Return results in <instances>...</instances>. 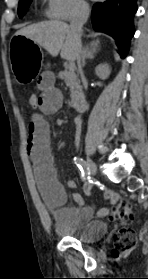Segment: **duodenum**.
<instances>
[{
  "instance_id": "obj_1",
  "label": "duodenum",
  "mask_w": 148,
  "mask_h": 279,
  "mask_svg": "<svg viewBox=\"0 0 148 279\" xmlns=\"http://www.w3.org/2000/svg\"><path fill=\"white\" fill-rule=\"evenodd\" d=\"M87 101L85 98L78 99L73 102V107L76 111H83L86 108Z\"/></svg>"
}]
</instances>
